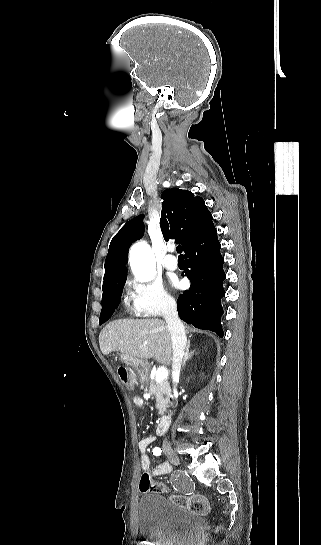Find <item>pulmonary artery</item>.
Listing matches in <instances>:
<instances>
[{
	"instance_id": "1",
	"label": "pulmonary artery",
	"mask_w": 321,
	"mask_h": 545,
	"mask_svg": "<svg viewBox=\"0 0 321 545\" xmlns=\"http://www.w3.org/2000/svg\"><path fill=\"white\" fill-rule=\"evenodd\" d=\"M163 267L166 270L174 271V270H176L178 268V262H177V260L167 259V260L163 261Z\"/></svg>"
}]
</instances>
